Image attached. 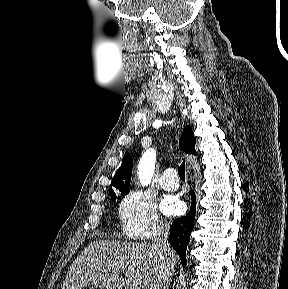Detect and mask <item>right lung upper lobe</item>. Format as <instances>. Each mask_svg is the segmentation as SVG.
Instances as JSON below:
<instances>
[{
	"mask_svg": "<svg viewBox=\"0 0 288 289\" xmlns=\"http://www.w3.org/2000/svg\"><path fill=\"white\" fill-rule=\"evenodd\" d=\"M196 139L193 135L191 126H186L180 140V148L186 153H192L196 155L195 151ZM133 167V159L129 153H125L122 164L114 175L111 186L114 190H119L121 192L129 191V183L131 180ZM113 192V189H111Z\"/></svg>",
	"mask_w": 288,
	"mask_h": 289,
	"instance_id": "right-lung-upper-lobe-1",
	"label": "right lung upper lobe"
}]
</instances>
